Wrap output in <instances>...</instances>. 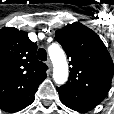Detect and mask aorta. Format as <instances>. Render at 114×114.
Segmentation results:
<instances>
[{"mask_svg": "<svg viewBox=\"0 0 114 114\" xmlns=\"http://www.w3.org/2000/svg\"><path fill=\"white\" fill-rule=\"evenodd\" d=\"M49 55L54 66L53 79L57 84L62 85L68 79V64L65 54L60 47L51 46Z\"/></svg>", "mask_w": 114, "mask_h": 114, "instance_id": "aorta-1", "label": "aorta"}]
</instances>
